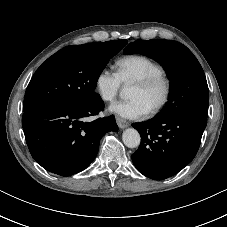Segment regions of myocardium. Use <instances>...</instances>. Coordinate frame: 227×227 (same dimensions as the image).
Returning <instances> with one entry per match:
<instances>
[{"label":"myocardium","mask_w":227,"mask_h":227,"mask_svg":"<svg viewBox=\"0 0 227 227\" xmlns=\"http://www.w3.org/2000/svg\"><path fill=\"white\" fill-rule=\"evenodd\" d=\"M158 84L162 85L163 94L160 101L148 111L149 115L158 114L165 108V106L169 102L171 92H172L171 80L164 73H160V74H155V75L145 77L143 79H139L133 83V85H136L143 89H149Z\"/></svg>","instance_id":"f54148a6"}]
</instances>
